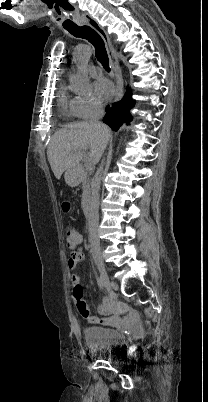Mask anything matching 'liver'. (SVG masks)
Listing matches in <instances>:
<instances>
[{"instance_id": "6515ba94", "label": "liver", "mask_w": 208, "mask_h": 402, "mask_svg": "<svg viewBox=\"0 0 208 402\" xmlns=\"http://www.w3.org/2000/svg\"><path fill=\"white\" fill-rule=\"evenodd\" d=\"M110 138L107 126H96L90 122L69 124L53 134L48 144L47 156L55 178L60 180L63 172L76 168L83 150L90 148L89 158L97 164Z\"/></svg>"}]
</instances>
